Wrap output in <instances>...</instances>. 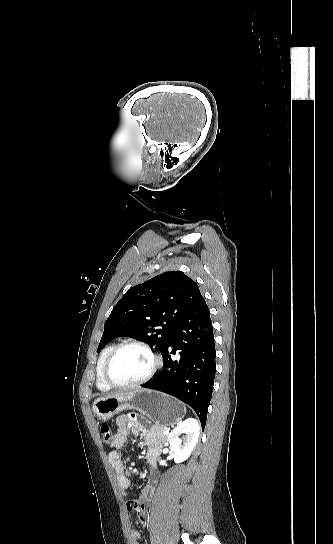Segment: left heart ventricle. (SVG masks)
Returning <instances> with one entry per match:
<instances>
[{
	"mask_svg": "<svg viewBox=\"0 0 333 544\" xmlns=\"http://www.w3.org/2000/svg\"><path fill=\"white\" fill-rule=\"evenodd\" d=\"M151 365L147 352L138 347H126L112 361L110 377L117 383H130L144 377Z\"/></svg>",
	"mask_w": 333,
	"mask_h": 544,
	"instance_id": "1",
	"label": "left heart ventricle"
}]
</instances>
